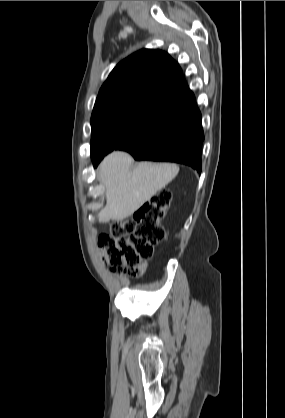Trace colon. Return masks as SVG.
Here are the masks:
<instances>
[{
	"instance_id": "colon-1",
	"label": "colon",
	"mask_w": 285,
	"mask_h": 418,
	"mask_svg": "<svg viewBox=\"0 0 285 418\" xmlns=\"http://www.w3.org/2000/svg\"><path fill=\"white\" fill-rule=\"evenodd\" d=\"M170 200L171 192L162 189L132 218L112 223L109 233L99 235L98 244L106 256V266L115 273L140 274L142 261L153 255L155 245L164 238L161 221L169 209Z\"/></svg>"
}]
</instances>
